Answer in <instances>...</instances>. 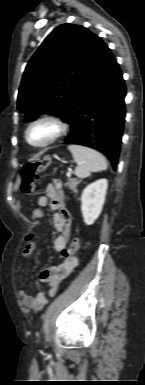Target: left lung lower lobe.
<instances>
[{"label":"left lung lower lobe","instance_id":"0a47b994","mask_svg":"<svg viewBox=\"0 0 145 385\" xmlns=\"http://www.w3.org/2000/svg\"><path fill=\"white\" fill-rule=\"evenodd\" d=\"M126 87L108 46L98 37L95 53L80 83L67 123L65 144H79L105 154L115 169L124 129Z\"/></svg>","mask_w":145,"mask_h":385}]
</instances>
